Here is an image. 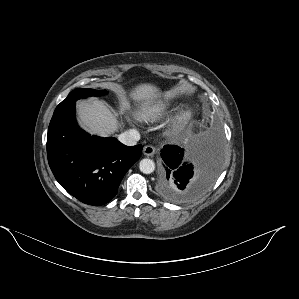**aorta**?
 Segmentation results:
<instances>
[{"label":"aorta","instance_id":"1","mask_svg":"<svg viewBox=\"0 0 299 299\" xmlns=\"http://www.w3.org/2000/svg\"><path fill=\"white\" fill-rule=\"evenodd\" d=\"M139 169L144 174H150L155 170V163L148 158L142 159L139 163Z\"/></svg>","mask_w":299,"mask_h":299}]
</instances>
